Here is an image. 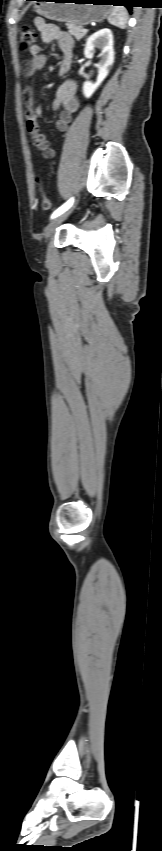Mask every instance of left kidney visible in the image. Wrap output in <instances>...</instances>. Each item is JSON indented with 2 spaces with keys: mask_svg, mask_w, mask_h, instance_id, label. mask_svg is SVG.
<instances>
[{
  "mask_svg": "<svg viewBox=\"0 0 162 851\" xmlns=\"http://www.w3.org/2000/svg\"><path fill=\"white\" fill-rule=\"evenodd\" d=\"M95 48L101 50L100 61L97 64V80L95 83L85 81L83 95L90 98L109 74L114 63L113 35L110 29L104 28L92 34L86 41L84 55L87 59L94 57Z\"/></svg>",
  "mask_w": 162,
  "mask_h": 851,
  "instance_id": "5707ae66",
  "label": "left kidney"
}]
</instances>
